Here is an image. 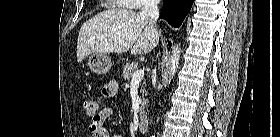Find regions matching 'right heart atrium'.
Segmentation results:
<instances>
[{"label":"right heart atrium","instance_id":"1","mask_svg":"<svg viewBox=\"0 0 280 137\" xmlns=\"http://www.w3.org/2000/svg\"><path fill=\"white\" fill-rule=\"evenodd\" d=\"M135 8L142 9L151 5V0H133Z\"/></svg>","mask_w":280,"mask_h":137}]
</instances>
